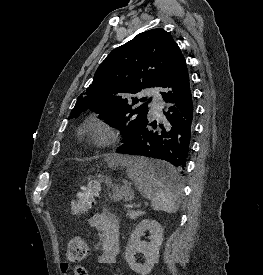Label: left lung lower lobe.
Segmentation results:
<instances>
[{"instance_id":"0a47b994","label":"left lung lower lobe","mask_w":263,"mask_h":275,"mask_svg":"<svg viewBox=\"0 0 263 275\" xmlns=\"http://www.w3.org/2000/svg\"><path fill=\"white\" fill-rule=\"evenodd\" d=\"M158 87L167 88L161 93L166 103V121L159 124L144 121L135 133L116 149L128 155H140L159 159L166 165L154 164L152 174L160 181L175 186L186 170L188 152L194 126V105L186 61L178 49L162 76Z\"/></svg>"}]
</instances>
